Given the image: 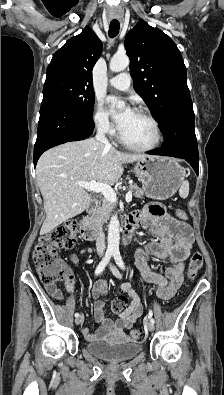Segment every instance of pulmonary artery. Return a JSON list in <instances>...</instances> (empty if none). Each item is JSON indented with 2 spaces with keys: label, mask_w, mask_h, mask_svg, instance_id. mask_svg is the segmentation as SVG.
<instances>
[{
  "label": "pulmonary artery",
  "mask_w": 224,
  "mask_h": 395,
  "mask_svg": "<svg viewBox=\"0 0 224 395\" xmlns=\"http://www.w3.org/2000/svg\"><path fill=\"white\" fill-rule=\"evenodd\" d=\"M109 84L121 91H127L130 88L131 78L128 73H121L109 80Z\"/></svg>",
  "instance_id": "pulmonary-artery-1"
}]
</instances>
